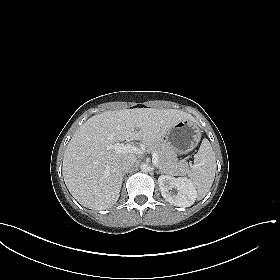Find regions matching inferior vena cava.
Here are the masks:
<instances>
[{"label":"inferior vena cava","mask_w":280,"mask_h":280,"mask_svg":"<svg viewBox=\"0 0 280 280\" xmlns=\"http://www.w3.org/2000/svg\"><path fill=\"white\" fill-rule=\"evenodd\" d=\"M136 163V156L129 154L124 156L120 163V167L122 171H128L134 164Z\"/></svg>","instance_id":"1"}]
</instances>
